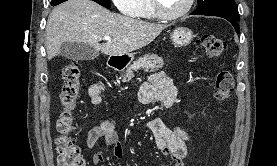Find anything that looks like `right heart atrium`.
Segmentation results:
<instances>
[{"label": "right heart atrium", "mask_w": 277, "mask_h": 166, "mask_svg": "<svg viewBox=\"0 0 277 166\" xmlns=\"http://www.w3.org/2000/svg\"><path fill=\"white\" fill-rule=\"evenodd\" d=\"M112 2L121 13L134 16L140 6L141 0H112Z\"/></svg>", "instance_id": "1"}]
</instances>
